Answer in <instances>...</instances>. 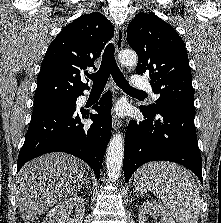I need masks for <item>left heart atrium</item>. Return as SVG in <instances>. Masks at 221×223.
<instances>
[{
    "label": "left heart atrium",
    "instance_id": "obj_1",
    "mask_svg": "<svg viewBox=\"0 0 221 223\" xmlns=\"http://www.w3.org/2000/svg\"><path fill=\"white\" fill-rule=\"evenodd\" d=\"M117 112H118V113H121V112H122V108H121V107L118 108Z\"/></svg>",
    "mask_w": 221,
    "mask_h": 223
}]
</instances>
